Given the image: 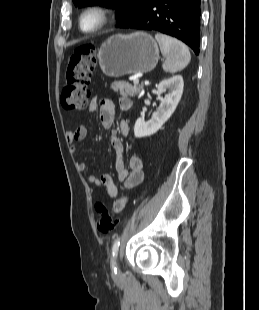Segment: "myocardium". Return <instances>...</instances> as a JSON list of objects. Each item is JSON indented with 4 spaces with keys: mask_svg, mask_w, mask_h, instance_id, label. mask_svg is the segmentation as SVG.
I'll return each mask as SVG.
<instances>
[{
    "mask_svg": "<svg viewBox=\"0 0 259 310\" xmlns=\"http://www.w3.org/2000/svg\"><path fill=\"white\" fill-rule=\"evenodd\" d=\"M94 14L98 17V23L92 28L84 27V20L88 15ZM110 21V12L109 10L101 5H91L85 8L78 19V25L82 32L84 33H96L102 30Z\"/></svg>",
    "mask_w": 259,
    "mask_h": 310,
    "instance_id": "obj_1",
    "label": "myocardium"
}]
</instances>
